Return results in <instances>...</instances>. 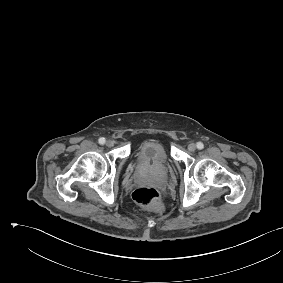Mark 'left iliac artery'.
Here are the masks:
<instances>
[{"label":"left iliac artery","mask_w":283,"mask_h":283,"mask_svg":"<svg viewBox=\"0 0 283 283\" xmlns=\"http://www.w3.org/2000/svg\"><path fill=\"white\" fill-rule=\"evenodd\" d=\"M196 146H197V148H198L199 150H201V149L204 148V145H203L202 142H198Z\"/></svg>","instance_id":"44dca946"}]
</instances>
